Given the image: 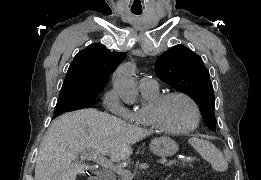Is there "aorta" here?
<instances>
[{"label": "aorta", "instance_id": "aorta-1", "mask_svg": "<svg viewBox=\"0 0 261 180\" xmlns=\"http://www.w3.org/2000/svg\"><path fill=\"white\" fill-rule=\"evenodd\" d=\"M134 76L135 66L131 62L120 65L113 74L114 88L126 104H133L137 99L138 91Z\"/></svg>", "mask_w": 261, "mask_h": 180}]
</instances>
